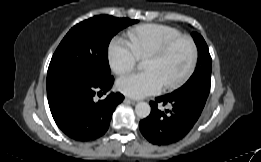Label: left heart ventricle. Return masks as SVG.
Segmentation results:
<instances>
[{"instance_id": "b2bd125f", "label": "left heart ventricle", "mask_w": 261, "mask_h": 162, "mask_svg": "<svg viewBox=\"0 0 261 162\" xmlns=\"http://www.w3.org/2000/svg\"><path fill=\"white\" fill-rule=\"evenodd\" d=\"M191 57L192 51L189 43L181 41L164 57H146L144 68L157 71L164 85H167L187 70Z\"/></svg>"}]
</instances>
